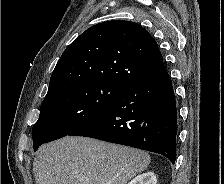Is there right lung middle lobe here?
Masks as SVG:
<instances>
[{"label":"right lung middle lobe","mask_w":224,"mask_h":184,"mask_svg":"<svg viewBox=\"0 0 224 184\" xmlns=\"http://www.w3.org/2000/svg\"><path fill=\"white\" fill-rule=\"evenodd\" d=\"M109 81H90L72 85L44 99L34 124V151L88 123L104 111L126 88Z\"/></svg>","instance_id":"right-lung-middle-lobe-1"}]
</instances>
